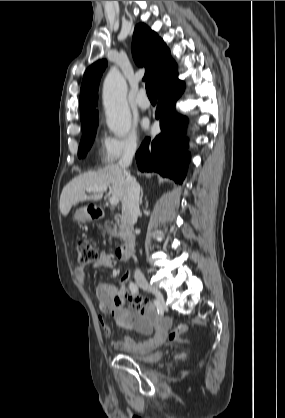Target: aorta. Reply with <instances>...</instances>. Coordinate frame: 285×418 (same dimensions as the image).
I'll list each match as a JSON object with an SVG mask.
<instances>
[{"instance_id":"obj_1","label":"aorta","mask_w":285,"mask_h":418,"mask_svg":"<svg viewBox=\"0 0 285 418\" xmlns=\"http://www.w3.org/2000/svg\"><path fill=\"white\" fill-rule=\"evenodd\" d=\"M127 84L116 69L110 70L103 84V103L108 128L118 137L128 134L131 113L126 102Z\"/></svg>"}]
</instances>
